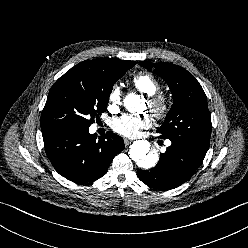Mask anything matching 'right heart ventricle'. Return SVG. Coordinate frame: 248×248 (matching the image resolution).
Masks as SVG:
<instances>
[{
  "label": "right heart ventricle",
  "instance_id": "obj_1",
  "mask_svg": "<svg viewBox=\"0 0 248 248\" xmlns=\"http://www.w3.org/2000/svg\"><path fill=\"white\" fill-rule=\"evenodd\" d=\"M132 85L141 93L151 96L158 92L160 84L150 73L141 72L133 76Z\"/></svg>",
  "mask_w": 248,
  "mask_h": 248
}]
</instances>
